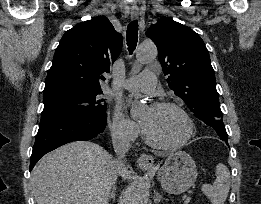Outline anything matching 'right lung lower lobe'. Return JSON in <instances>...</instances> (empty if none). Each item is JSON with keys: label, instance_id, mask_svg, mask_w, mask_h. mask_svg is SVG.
Returning a JSON list of instances; mask_svg holds the SVG:
<instances>
[{"label": "right lung lower lobe", "instance_id": "right-lung-lower-lobe-1", "mask_svg": "<svg viewBox=\"0 0 261 204\" xmlns=\"http://www.w3.org/2000/svg\"><path fill=\"white\" fill-rule=\"evenodd\" d=\"M106 114L58 113L41 117L29 169L46 153L72 141H87L104 131Z\"/></svg>", "mask_w": 261, "mask_h": 204}]
</instances>
